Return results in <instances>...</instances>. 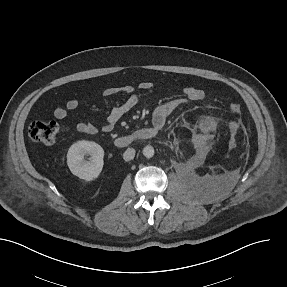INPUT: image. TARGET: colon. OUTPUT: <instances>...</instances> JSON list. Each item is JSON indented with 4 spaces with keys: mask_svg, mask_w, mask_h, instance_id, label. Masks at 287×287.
Listing matches in <instances>:
<instances>
[{
    "mask_svg": "<svg viewBox=\"0 0 287 287\" xmlns=\"http://www.w3.org/2000/svg\"><path fill=\"white\" fill-rule=\"evenodd\" d=\"M232 113L240 114L243 110L240 100H232L229 104ZM62 133V128L55 122L35 121L29 126V137L32 141L41 143L45 146L56 144Z\"/></svg>",
    "mask_w": 287,
    "mask_h": 287,
    "instance_id": "1",
    "label": "colon"
}]
</instances>
